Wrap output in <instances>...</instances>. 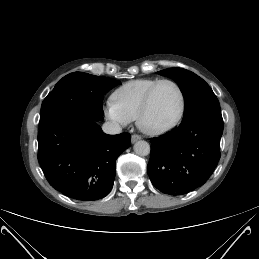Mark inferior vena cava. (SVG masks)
Returning <instances> with one entry per match:
<instances>
[{
	"instance_id": "1",
	"label": "inferior vena cava",
	"mask_w": 259,
	"mask_h": 259,
	"mask_svg": "<svg viewBox=\"0 0 259 259\" xmlns=\"http://www.w3.org/2000/svg\"><path fill=\"white\" fill-rule=\"evenodd\" d=\"M102 130L106 134H119L122 132V128L117 122H105L102 126Z\"/></svg>"
}]
</instances>
